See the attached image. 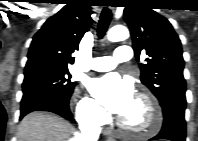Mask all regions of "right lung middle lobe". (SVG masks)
<instances>
[{"instance_id": "obj_1", "label": "right lung middle lobe", "mask_w": 198, "mask_h": 141, "mask_svg": "<svg viewBox=\"0 0 198 141\" xmlns=\"http://www.w3.org/2000/svg\"><path fill=\"white\" fill-rule=\"evenodd\" d=\"M23 93L43 91L69 99L75 83L67 68H42L24 73Z\"/></svg>"}]
</instances>
